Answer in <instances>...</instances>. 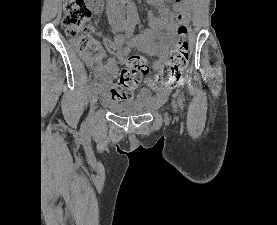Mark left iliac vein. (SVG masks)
<instances>
[{"mask_svg":"<svg viewBox=\"0 0 277 225\" xmlns=\"http://www.w3.org/2000/svg\"><path fill=\"white\" fill-rule=\"evenodd\" d=\"M172 106H173V108H174V109H176V108H177V102H176L175 100H173V102H172Z\"/></svg>","mask_w":277,"mask_h":225,"instance_id":"1","label":"left iliac vein"}]
</instances>
